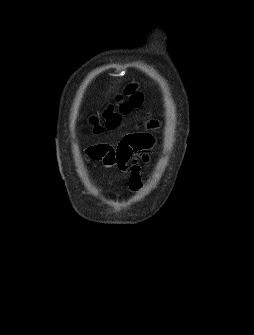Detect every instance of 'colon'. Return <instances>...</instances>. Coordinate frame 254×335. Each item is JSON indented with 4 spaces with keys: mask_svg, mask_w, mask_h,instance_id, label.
Returning a JSON list of instances; mask_svg holds the SVG:
<instances>
[{
    "mask_svg": "<svg viewBox=\"0 0 254 335\" xmlns=\"http://www.w3.org/2000/svg\"><path fill=\"white\" fill-rule=\"evenodd\" d=\"M142 101L141 96L134 95L129 101H125L121 104L120 109L122 113H126L130 111L133 107L138 106ZM119 122V116L116 114H112L108 111L107 120H106V128L112 129L117 126Z\"/></svg>",
    "mask_w": 254,
    "mask_h": 335,
    "instance_id": "5ec220e1",
    "label": "colon"
}]
</instances>
